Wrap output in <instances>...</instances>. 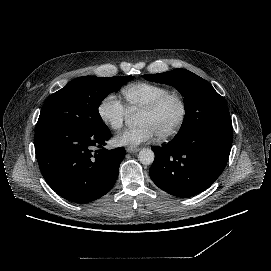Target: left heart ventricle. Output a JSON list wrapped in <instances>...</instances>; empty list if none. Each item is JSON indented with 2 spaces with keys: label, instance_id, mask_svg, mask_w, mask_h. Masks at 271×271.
I'll return each mask as SVG.
<instances>
[{
  "label": "left heart ventricle",
  "instance_id": "obj_1",
  "mask_svg": "<svg viewBox=\"0 0 271 271\" xmlns=\"http://www.w3.org/2000/svg\"><path fill=\"white\" fill-rule=\"evenodd\" d=\"M180 105L177 100H169L157 112L152 114L139 113L137 125H148L155 136L165 133L171 129L180 116Z\"/></svg>",
  "mask_w": 271,
  "mask_h": 271
}]
</instances>
